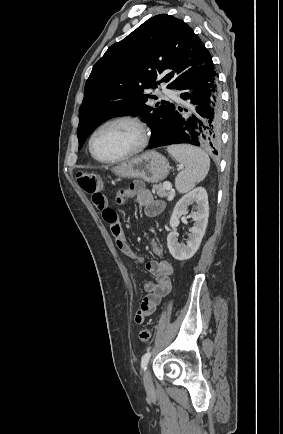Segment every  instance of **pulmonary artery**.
Returning a JSON list of instances; mask_svg holds the SVG:
<instances>
[{
	"label": "pulmonary artery",
	"mask_w": 283,
	"mask_h": 434,
	"mask_svg": "<svg viewBox=\"0 0 283 434\" xmlns=\"http://www.w3.org/2000/svg\"><path fill=\"white\" fill-rule=\"evenodd\" d=\"M161 92L172 99H176V100L180 99L179 94L177 92L167 89L166 87H162Z\"/></svg>",
	"instance_id": "obj_1"
}]
</instances>
